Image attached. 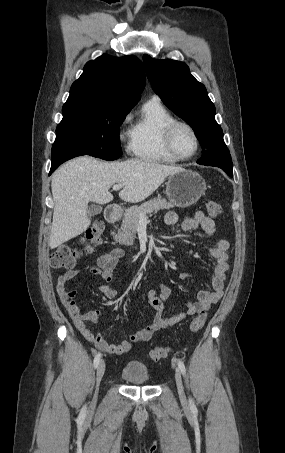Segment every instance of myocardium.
<instances>
[{
  "label": "myocardium",
  "mask_w": 285,
  "mask_h": 453,
  "mask_svg": "<svg viewBox=\"0 0 285 453\" xmlns=\"http://www.w3.org/2000/svg\"><path fill=\"white\" fill-rule=\"evenodd\" d=\"M179 127H185L186 129H188L194 138L195 150L190 155H182L181 153H179L176 150V148L174 146V134H175L177 128H179ZM164 144H165V147L168 150V152L179 160H187V159L192 158L193 156L196 155V153L198 152L199 147H200L199 137H198L195 129L189 123L184 122V121H179V120L172 121L165 128Z\"/></svg>",
  "instance_id": "obj_1"
}]
</instances>
